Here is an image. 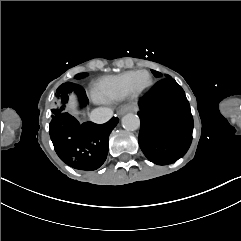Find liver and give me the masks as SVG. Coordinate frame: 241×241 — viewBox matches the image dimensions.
Here are the masks:
<instances>
[{
  "label": "liver",
  "instance_id": "obj_1",
  "mask_svg": "<svg viewBox=\"0 0 241 241\" xmlns=\"http://www.w3.org/2000/svg\"><path fill=\"white\" fill-rule=\"evenodd\" d=\"M69 110H72V101L70 102L69 106H68Z\"/></svg>",
  "mask_w": 241,
  "mask_h": 241
}]
</instances>
